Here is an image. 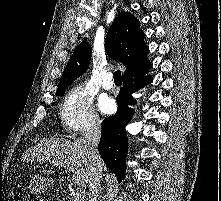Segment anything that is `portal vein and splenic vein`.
<instances>
[{
  "instance_id": "1",
  "label": "portal vein and splenic vein",
  "mask_w": 221,
  "mask_h": 201,
  "mask_svg": "<svg viewBox=\"0 0 221 201\" xmlns=\"http://www.w3.org/2000/svg\"><path fill=\"white\" fill-rule=\"evenodd\" d=\"M58 165L64 166L69 171L71 170V168H69V167H67V166H65V165H63L61 163H58ZM83 198H84V191L81 190V189H78L76 191V193L74 194V196H73V201H81Z\"/></svg>"
}]
</instances>
